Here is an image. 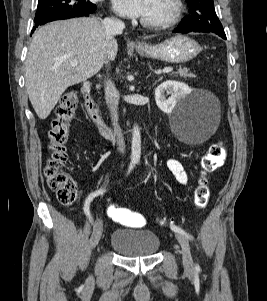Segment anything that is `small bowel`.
Segmentation results:
<instances>
[{"mask_svg":"<svg viewBox=\"0 0 267 301\" xmlns=\"http://www.w3.org/2000/svg\"><path fill=\"white\" fill-rule=\"evenodd\" d=\"M167 166L180 184L182 185L188 184L189 182L188 173L186 172L183 164L179 160L171 158L167 161Z\"/></svg>","mask_w":267,"mask_h":301,"instance_id":"1","label":"small bowel"}]
</instances>
